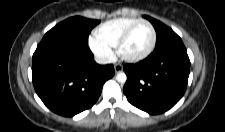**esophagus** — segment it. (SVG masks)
Masks as SVG:
<instances>
[{
	"mask_svg": "<svg viewBox=\"0 0 225 132\" xmlns=\"http://www.w3.org/2000/svg\"><path fill=\"white\" fill-rule=\"evenodd\" d=\"M114 69L116 73H119L123 70V66L121 64H115Z\"/></svg>",
	"mask_w": 225,
	"mask_h": 132,
	"instance_id": "obj_1",
	"label": "esophagus"
}]
</instances>
